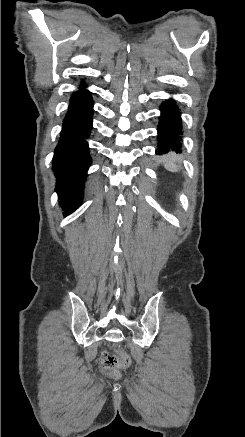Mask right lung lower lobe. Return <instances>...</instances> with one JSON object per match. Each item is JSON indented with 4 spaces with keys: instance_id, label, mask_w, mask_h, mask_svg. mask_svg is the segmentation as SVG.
Segmentation results:
<instances>
[{
    "instance_id": "obj_1",
    "label": "right lung lower lobe",
    "mask_w": 245,
    "mask_h": 437,
    "mask_svg": "<svg viewBox=\"0 0 245 437\" xmlns=\"http://www.w3.org/2000/svg\"><path fill=\"white\" fill-rule=\"evenodd\" d=\"M92 114L91 93L85 90V85H81L71 96L53 157V171L57 178L55 190L65 215L71 214L81 204L86 172L91 162L85 139L92 129Z\"/></svg>"
}]
</instances>
